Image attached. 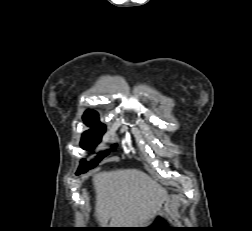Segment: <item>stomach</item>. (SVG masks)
<instances>
[{
	"mask_svg": "<svg viewBox=\"0 0 252 231\" xmlns=\"http://www.w3.org/2000/svg\"><path fill=\"white\" fill-rule=\"evenodd\" d=\"M141 231H170L174 230L172 228H177L175 226V220L171 216L168 209V202L165 200L162 202L159 210L153 214L149 221L141 227H138Z\"/></svg>",
	"mask_w": 252,
	"mask_h": 231,
	"instance_id": "obj_1",
	"label": "stomach"
}]
</instances>
